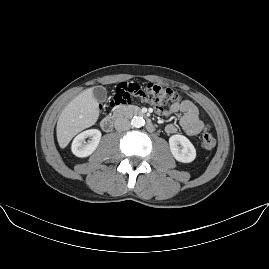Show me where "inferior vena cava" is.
<instances>
[{"mask_svg": "<svg viewBox=\"0 0 269 269\" xmlns=\"http://www.w3.org/2000/svg\"><path fill=\"white\" fill-rule=\"evenodd\" d=\"M114 127L117 131L121 132L130 129L131 125L127 118H117Z\"/></svg>", "mask_w": 269, "mask_h": 269, "instance_id": "602c4592", "label": "inferior vena cava"}]
</instances>
